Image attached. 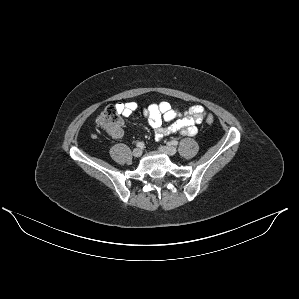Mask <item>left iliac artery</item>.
Instances as JSON below:
<instances>
[{
  "label": "left iliac artery",
  "instance_id": "1",
  "mask_svg": "<svg viewBox=\"0 0 299 299\" xmlns=\"http://www.w3.org/2000/svg\"><path fill=\"white\" fill-rule=\"evenodd\" d=\"M169 144L177 146L178 145V141L176 140H172L171 142H169Z\"/></svg>",
  "mask_w": 299,
  "mask_h": 299
}]
</instances>
